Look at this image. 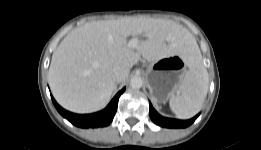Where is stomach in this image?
I'll use <instances>...</instances> for the list:
<instances>
[{
    "instance_id": "0dacf381",
    "label": "stomach",
    "mask_w": 261,
    "mask_h": 150,
    "mask_svg": "<svg viewBox=\"0 0 261 150\" xmlns=\"http://www.w3.org/2000/svg\"><path fill=\"white\" fill-rule=\"evenodd\" d=\"M187 66L188 60L182 54L165 57L148 65L147 86L155 102H165L177 92L187 72Z\"/></svg>"
}]
</instances>
